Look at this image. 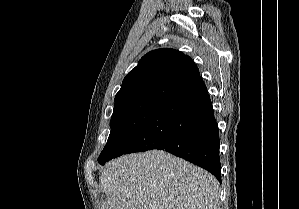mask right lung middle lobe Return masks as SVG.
Returning <instances> with one entry per match:
<instances>
[{
    "instance_id": "right-lung-middle-lobe-1",
    "label": "right lung middle lobe",
    "mask_w": 299,
    "mask_h": 209,
    "mask_svg": "<svg viewBox=\"0 0 299 209\" xmlns=\"http://www.w3.org/2000/svg\"><path fill=\"white\" fill-rule=\"evenodd\" d=\"M160 104L140 102L114 107L110 125L111 132L98 162L103 165L114 158L142 129Z\"/></svg>"
}]
</instances>
